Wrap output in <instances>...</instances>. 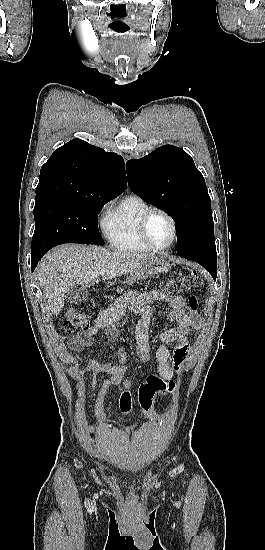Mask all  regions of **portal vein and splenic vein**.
Returning a JSON list of instances; mask_svg holds the SVG:
<instances>
[{"label": "portal vein and splenic vein", "mask_w": 265, "mask_h": 550, "mask_svg": "<svg viewBox=\"0 0 265 550\" xmlns=\"http://www.w3.org/2000/svg\"><path fill=\"white\" fill-rule=\"evenodd\" d=\"M104 274H105V272H104V271H101V272H100V275H104Z\"/></svg>", "instance_id": "obj_1"}]
</instances>
